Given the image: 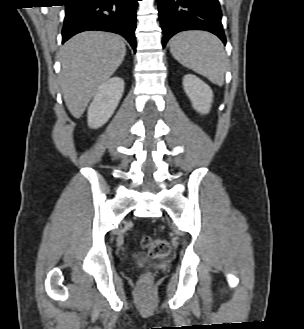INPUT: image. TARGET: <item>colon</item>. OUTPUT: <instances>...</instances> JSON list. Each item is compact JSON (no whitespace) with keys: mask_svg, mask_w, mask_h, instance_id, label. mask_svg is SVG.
<instances>
[{"mask_svg":"<svg viewBox=\"0 0 304 329\" xmlns=\"http://www.w3.org/2000/svg\"><path fill=\"white\" fill-rule=\"evenodd\" d=\"M141 243L154 258H164L170 252L169 243L165 239H152L149 236H144ZM152 279V274L147 272L140 277V283L142 285H148L152 282Z\"/></svg>","mask_w":304,"mask_h":329,"instance_id":"5ec220e1","label":"colon"}]
</instances>
